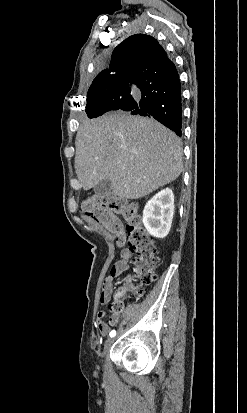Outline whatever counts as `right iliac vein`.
I'll return each mask as SVG.
<instances>
[{"label":"right iliac vein","instance_id":"obj_1","mask_svg":"<svg viewBox=\"0 0 247 413\" xmlns=\"http://www.w3.org/2000/svg\"><path fill=\"white\" fill-rule=\"evenodd\" d=\"M114 343V339H108L104 344V351L103 356H105L106 352L111 348L112 344Z\"/></svg>","mask_w":247,"mask_h":413}]
</instances>
